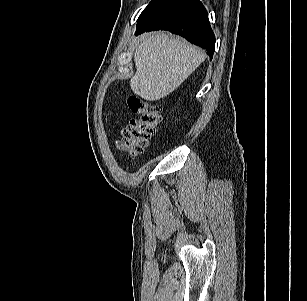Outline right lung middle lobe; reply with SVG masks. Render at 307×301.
Wrapping results in <instances>:
<instances>
[{
    "label": "right lung middle lobe",
    "mask_w": 307,
    "mask_h": 301,
    "mask_svg": "<svg viewBox=\"0 0 307 301\" xmlns=\"http://www.w3.org/2000/svg\"><path fill=\"white\" fill-rule=\"evenodd\" d=\"M168 0H152L148 6L143 10V12L140 14L138 21L158 9L160 6H162L164 3H166Z\"/></svg>",
    "instance_id": "right-lung-middle-lobe-1"
}]
</instances>
